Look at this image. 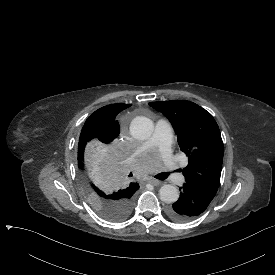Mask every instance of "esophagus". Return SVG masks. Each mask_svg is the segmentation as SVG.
I'll use <instances>...</instances> for the list:
<instances>
[{"label": "esophagus", "instance_id": "34e87169", "mask_svg": "<svg viewBox=\"0 0 275 275\" xmlns=\"http://www.w3.org/2000/svg\"><path fill=\"white\" fill-rule=\"evenodd\" d=\"M149 183H150L151 185H153V186H159V185L162 184L161 181L156 180V179H150V180H149Z\"/></svg>", "mask_w": 275, "mask_h": 275}]
</instances>
